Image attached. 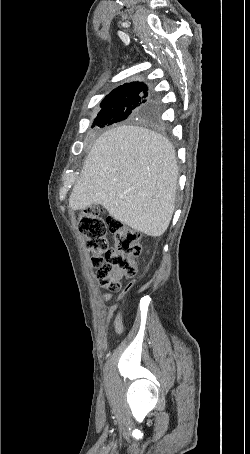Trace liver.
I'll use <instances>...</instances> for the list:
<instances>
[{"label":"liver","instance_id":"liver-1","mask_svg":"<svg viewBox=\"0 0 250 454\" xmlns=\"http://www.w3.org/2000/svg\"><path fill=\"white\" fill-rule=\"evenodd\" d=\"M177 183L176 154L169 140L143 127L123 125L96 140L69 206L84 210L101 205L121 223L159 237L172 219Z\"/></svg>","mask_w":250,"mask_h":454}]
</instances>
